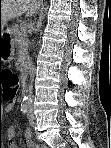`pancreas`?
I'll return each instance as SVG.
<instances>
[{
	"mask_svg": "<svg viewBox=\"0 0 111 148\" xmlns=\"http://www.w3.org/2000/svg\"><path fill=\"white\" fill-rule=\"evenodd\" d=\"M25 30V24L17 25L14 28L15 42L18 45V48L22 54L26 53L27 35Z\"/></svg>",
	"mask_w": 111,
	"mask_h": 148,
	"instance_id": "pancreas-1",
	"label": "pancreas"
}]
</instances>
